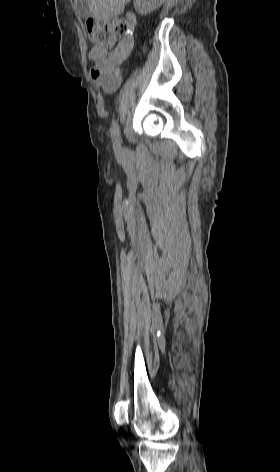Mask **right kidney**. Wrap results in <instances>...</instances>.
<instances>
[{"label": "right kidney", "mask_w": 280, "mask_h": 472, "mask_svg": "<svg viewBox=\"0 0 280 472\" xmlns=\"http://www.w3.org/2000/svg\"><path fill=\"white\" fill-rule=\"evenodd\" d=\"M162 1L163 0H135L134 7L139 14L146 15L160 6Z\"/></svg>", "instance_id": "ca27d5eb"}]
</instances>
